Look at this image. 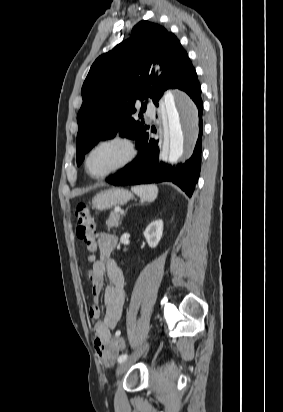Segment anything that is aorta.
<instances>
[{
    "mask_svg": "<svg viewBox=\"0 0 283 412\" xmlns=\"http://www.w3.org/2000/svg\"><path fill=\"white\" fill-rule=\"evenodd\" d=\"M167 115L168 161L175 163L184 154L190 140L197 133V108L193 101L183 93L164 96Z\"/></svg>",
    "mask_w": 283,
    "mask_h": 412,
    "instance_id": "1",
    "label": "aorta"
}]
</instances>
